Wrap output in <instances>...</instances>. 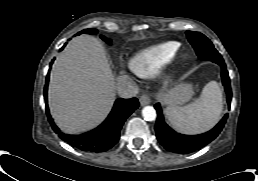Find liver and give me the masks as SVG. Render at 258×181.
<instances>
[{
  "instance_id": "liver-1",
  "label": "liver",
  "mask_w": 258,
  "mask_h": 181,
  "mask_svg": "<svg viewBox=\"0 0 258 181\" xmlns=\"http://www.w3.org/2000/svg\"><path fill=\"white\" fill-rule=\"evenodd\" d=\"M115 77L100 42L92 36L73 38L51 70L48 103L56 124L79 133L100 123L115 100Z\"/></svg>"
}]
</instances>
